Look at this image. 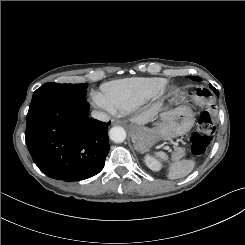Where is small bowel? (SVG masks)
<instances>
[{"instance_id":"obj_1","label":"small bowel","mask_w":245,"mask_h":245,"mask_svg":"<svg viewBox=\"0 0 245 245\" xmlns=\"http://www.w3.org/2000/svg\"><path fill=\"white\" fill-rule=\"evenodd\" d=\"M188 101L195 110L202 109L206 111L213 110L217 105L214 93L210 90L196 89L189 93Z\"/></svg>"}]
</instances>
